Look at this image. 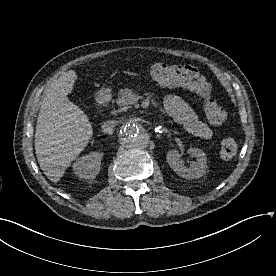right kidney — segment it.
Listing matches in <instances>:
<instances>
[{
  "instance_id": "1",
  "label": "right kidney",
  "mask_w": 276,
  "mask_h": 276,
  "mask_svg": "<svg viewBox=\"0 0 276 276\" xmlns=\"http://www.w3.org/2000/svg\"><path fill=\"white\" fill-rule=\"evenodd\" d=\"M102 154L92 152L89 155L82 156L73 164V171L81 179H94L100 171Z\"/></svg>"
}]
</instances>
